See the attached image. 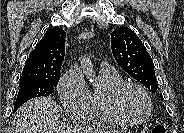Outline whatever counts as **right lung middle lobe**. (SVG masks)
<instances>
[{
    "label": "right lung middle lobe",
    "mask_w": 184,
    "mask_h": 133,
    "mask_svg": "<svg viewBox=\"0 0 184 133\" xmlns=\"http://www.w3.org/2000/svg\"><path fill=\"white\" fill-rule=\"evenodd\" d=\"M60 75L49 79H27L20 80L19 92L15 102L14 111H16L23 103L34 97H47L54 92L57 87Z\"/></svg>",
    "instance_id": "obj_1"
}]
</instances>
